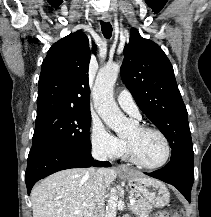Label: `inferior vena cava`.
Listing matches in <instances>:
<instances>
[{"instance_id":"obj_1","label":"inferior vena cava","mask_w":211,"mask_h":217,"mask_svg":"<svg viewBox=\"0 0 211 217\" xmlns=\"http://www.w3.org/2000/svg\"><path fill=\"white\" fill-rule=\"evenodd\" d=\"M92 156L94 159L106 161L107 152L103 147H94L92 150ZM94 193L96 198V205L92 213V217H104V194L105 186L103 181L102 169H98L94 175Z\"/></svg>"}]
</instances>
